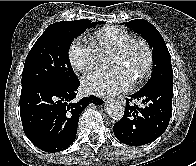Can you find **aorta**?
I'll return each instance as SVG.
<instances>
[{"label": "aorta", "mask_w": 196, "mask_h": 166, "mask_svg": "<svg viewBox=\"0 0 196 166\" xmlns=\"http://www.w3.org/2000/svg\"><path fill=\"white\" fill-rule=\"evenodd\" d=\"M105 110L109 117H111L114 120H121L124 115L123 105L116 100L108 101L105 104Z\"/></svg>", "instance_id": "762f6f07"}]
</instances>
